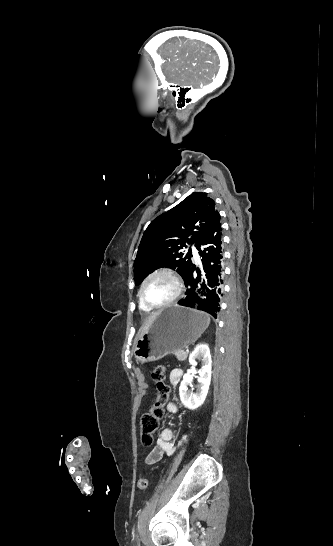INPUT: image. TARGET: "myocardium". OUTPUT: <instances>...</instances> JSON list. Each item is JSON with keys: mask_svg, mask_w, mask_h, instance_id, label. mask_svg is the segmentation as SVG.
<instances>
[{"mask_svg": "<svg viewBox=\"0 0 333 546\" xmlns=\"http://www.w3.org/2000/svg\"><path fill=\"white\" fill-rule=\"evenodd\" d=\"M158 275H167L169 276L175 283L176 285V291H175V294L173 295L172 298H170L168 301L162 303V304H158V305H154V304H151L145 297V294H144V290H145V287L146 285L148 284V282L155 276H158ZM183 289H184V284H183V281L181 279V277L179 276V274L173 270L172 268H169V267H163V268H159L153 272H151L143 281V283L141 284V287H140V290H139V297L141 299V301L149 308L151 309H160V308H164V307H167V306H170L172 305L174 302H176L178 300V298L180 297V295L182 294L183 292Z\"/></svg>", "mask_w": 333, "mask_h": 546, "instance_id": "myocardium-1", "label": "myocardium"}]
</instances>
